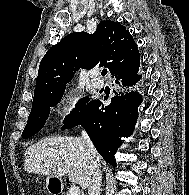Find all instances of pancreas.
Listing matches in <instances>:
<instances>
[{
	"label": "pancreas",
	"mask_w": 189,
	"mask_h": 195,
	"mask_svg": "<svg viewBox=\"0 0 189 195\" xmlns=\"http://www.w3.org/2000/svg\"><path fill=\"white\" fill-rule=\"evenodd\" d=\"M62 195H69V193L68 192H63Z\"/></svg>",
	"instance_id": "1"
}]
</instances>
